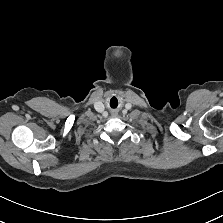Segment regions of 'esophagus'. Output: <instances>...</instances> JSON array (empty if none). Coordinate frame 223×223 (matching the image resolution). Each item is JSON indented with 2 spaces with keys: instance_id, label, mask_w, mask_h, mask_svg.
<instances>
[{
  "instance_id": "esophagus-1",
  "label": "esophagus",
  "mask_w": 223,
  "mask_h": 223,
  "mask_svg": "<svg viewBox=\"0 0 223 223\" xmlns=\"http://www.w3.org/2000/svg\"><path fill=\"white\" fill-rule=\"evenodd\" d=\"M114 111H116V110H113V112H114ZM112 114H113V113H112ZM116 114H117V111H116Z\"/></svg>"
}]
</instances>
